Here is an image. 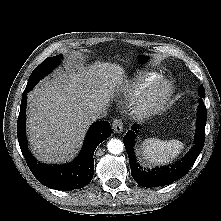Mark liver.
Here are the masks:
<instances>
[{"label": "liver", "mask_w": 221, "mask_h": 221, "mask_svg": "<svg viewBox=\"0 0 221 221\" xmlns=\"http://www.w3.org/2000/svg\"><path fill=\"white\" fill-rule=\"evenodd\" d=\"M124 82L122 67L101 62L43 79L27 101V133L37 158L48 163L73 158L92 122L91 112L107 108Z\"/></svg>", "instance_id": "6515ba94"}]
</instances>
